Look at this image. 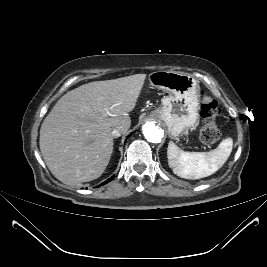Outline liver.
Masks as SVG:
<instances>
[{
	"instance_id": "liver-1",
	"label": "liver",
	"mask_w": 267,
	"mask_h": 267,
	"mask_svg": "<svg viewBox=\"0 0 267 267\" xmlns=\"http://www.w3.org/2000/svg\"><path fill=\"white\" fill-rule=\"evenodd\" d=\"M146 74L95 81L63 95L44 119L40 151L51 173L74 185L97 179L113 152L111 130L124 126L142 91Z\"/></svg>"
}]
</instances>
